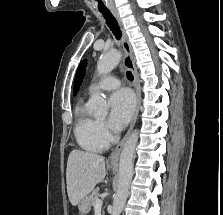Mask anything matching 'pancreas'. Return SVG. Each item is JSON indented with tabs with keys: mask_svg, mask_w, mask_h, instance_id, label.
<instances>
[{
	"mask_svg": "<svg viewBox=\"0 0 223 215\" xmlns=\"http://www.w3.org/2000/svg\"><path fill=\"white\" fill-rule=\"evenodd\" d=\"M99 189H100V187H96V189H93V191H91V193H90V195H91L90 199H92L93 203H96V197H98V195H99ZM103 215H104V211H103Z\"/></svg>",
	"mask_w": 223,
	"mask_h": 215,
	"instance_id": "cf45deb5",
	"label": "pancreas"
}]
</instances>
